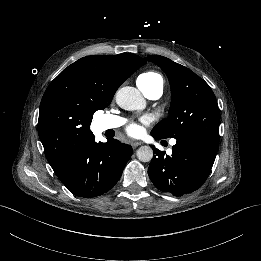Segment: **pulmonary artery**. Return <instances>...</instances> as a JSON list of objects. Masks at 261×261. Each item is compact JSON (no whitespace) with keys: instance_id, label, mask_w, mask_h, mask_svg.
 I'll return each instance as SVG.
<instances>
[{"instance_id":"e3ab8cb5","label":"pulmonary artery","mask_w":261,"mask_h":261,"mask_svg":"<svg viewBox=\"0 0 261 261\" xmlns=\"http://www.w3.org/2000/svg\"><path fill=\"white\" fill-rule=\"evenodd\" d=\"M163 90L161 88H153L146 90L144 96L149 100H157L161 97ZM125 123V119L120 116L111 115L105 118L104 126L107 129H116L121 127ZM177 143L176 139H171L170 145L174 146Z\"/></svg>"}]
</instances>
